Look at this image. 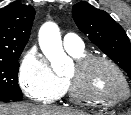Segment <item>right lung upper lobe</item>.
Wrapping results in <instances>:
<instances>
[{
    "mask_svg": "<svg viewBox=\"0 0 131 115\" xmlns=\"http://www.w3.org/2000/svg\"><path fill=\"white\" fill-rule=\"evenodd\" d=\"M34 16L33 7L17 2L0 9V58L23 51Z\"/></svg>",
    "mask_w": 131,
    "mask_h": 115,
    "instance_id": "right-lung-upper-lobe-1",
    "label": "right lung upper lobe"
}]
</instances>
